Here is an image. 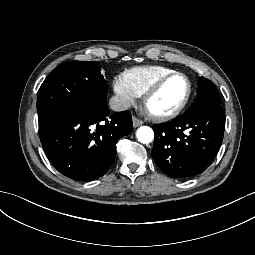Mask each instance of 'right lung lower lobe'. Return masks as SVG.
Segmentation results:
<instances>
[{
    "label": "right lung lower lobe",
    "instance_id": "98d812e1",
    "mask_svg": "<svg viewBox=\"0 0 255 255\" xmlns=\"http://www.w3.org/2000/svg\"><path fill=\"white\" fill-rule=\"evenodd\" d=\"M82 103H69L39 118L42 147L53 166L78 181L104 175L116 156L118 140L132 132L129 111L111 115Z\"/></svg>",
    "mask_w": 255,
    "mask_h": 255
}]
</instances>
